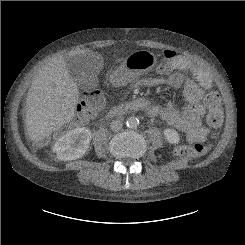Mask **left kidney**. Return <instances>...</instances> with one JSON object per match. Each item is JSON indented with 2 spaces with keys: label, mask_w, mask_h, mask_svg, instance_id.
<instances>
[{
  "label": "left kidney",
  "mask_w": 245,
  "mask_h": 245,
  "mask_svg": "<svg viewBox=\"0 0 245 245\" xmlns=\"http://www.w3.org/2000/svg\"><path fill=\"white\" fill-rule=\"evenodd\" d=\"M165 139L170 144H178L180 141V136L178 132L174 129L167 128L163 131Z\"/></svg>",
  "instance_id": "5707ae66"
}]
</instances>
